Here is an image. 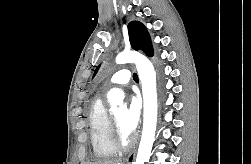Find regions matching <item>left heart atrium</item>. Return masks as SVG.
<instances>
[{
	"instance_id": "left-heart-atrium-1",
	"label": "left heart atrium",
	"mask_w": 251,
	"mask_h": 164,
	"mask_svg": "<svg viewBox=\"0 0 251 164\" xmlns=\"http://www.w3.org/2000/svg\"><path fill=\"white\" fill-rule=\"evenodd\" d=\"M141 113V101L138 96L132 95L124 114L123 128L131 134L138 126Z\"/></svg>"
}]
</instances>
